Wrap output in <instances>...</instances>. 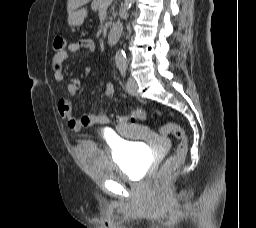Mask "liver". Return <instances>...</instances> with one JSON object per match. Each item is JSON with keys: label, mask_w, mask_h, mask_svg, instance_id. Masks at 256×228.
Here are the masks:
<instances>
[{"label": "liver", "mask_w": 256, "mask_h": 228, "mask_svg": "<svg viewBox=\"0 0 256 228\" xmlns=\"http://www.w3.org/2000/svg\"><path fill=\"white\" fill-rule=\"evenodd\" d=\"M90 0H68L67 2V11L68 14L71 13L73 10L81 7L82 5L88 3Z\"/></svg>", "instance_id": "1"}]
</instances>
